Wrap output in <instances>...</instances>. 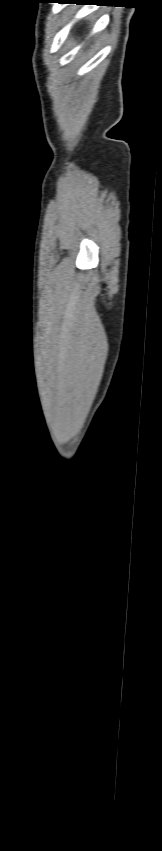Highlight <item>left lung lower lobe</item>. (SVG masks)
<instances>
[{"label": "left lung lower lobe", "mask_w": 162, "mask_h": 851, "mask_svg": "<svg viewBox=\"0 0 162 851\" xmlns=\"http://www.w3.org/2000/svg\"><path fill=\"white\" fill-rule=\"evenodd\" d=\"M72 1H73V0H72ZM87 1H89V0H79L78 2H87ZM65 3H70V2H65ZM73 3H74V2H73ZM75 3H77V2H75ZM77 4H79V3H77Z\"/></svg>", "instance_id": "left-lung-lower-lobe-1"}]
</instances>
